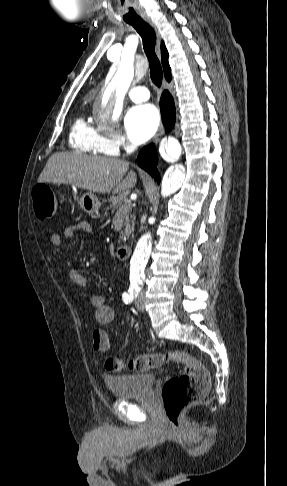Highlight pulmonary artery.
Returning a JSON list of instances; mask_svg holds the SVG:
<instances>
[{
	"instance_id": "pulmonary-artery-1",
	"label": "pulmonary artery",
	"mask_w": 287,
	"mask_h": 486,
	"mask_svg": "<svg viewBox=\"0 0 287 486\" xmlns=\"http://www.w3.org/2000/svg\"><path fill=\"white\" fill-rule=\"evenodd\" d=\"M128 97L134 102H144L149 99V92L143 86H136L128 91Z\"/></svg>"
}]
</instances>
